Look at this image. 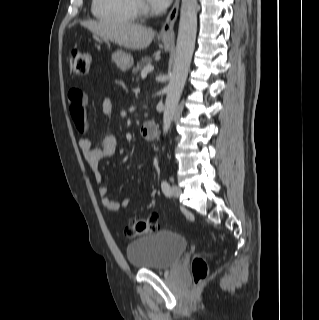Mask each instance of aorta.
I'll list each match as a JSON object with an SVG mask.
<instances>
[{
  "mask_svg": "<svg viewBox=\"0 0 319 320\" xmlns=\"http://www.w3.org/2000/svg\"><path fill=\"white\" fill-rule=\"evenodd\" d=\"M197 32V0H182L180 21L176 45V55L163 113V132L170 129L174 114L180 100L195 47Z\"/></svg>",
  "mask_w": 319,
  "mask_h": 320,
  "instance_id": "aorta-1",
  "label": "aorta"
}]
</instances>
